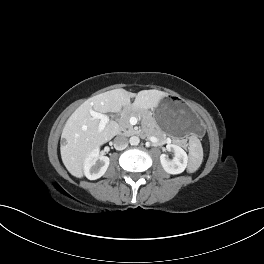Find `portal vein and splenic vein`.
<instances>
[{
    "mask_svg": "<svg viewBox=\"0 0 264 264\" xmlns=\"http://www.w3.org/2000/svg\"><path fill=\"white\" fill-rule=\"evenodd\" d=\"M90 115L94 119H99L100 120L98 131L99 132L103 131L105 126L109 122V117L107 115H105V114H102V113H99V112H95V111H91Z\"/></svg>",
    "mask_w": 264,
    "mask_h": 264,
    "instance_id": "18ae733b",
    "label": "portal vein and splenic vein"
}]
</instances>
